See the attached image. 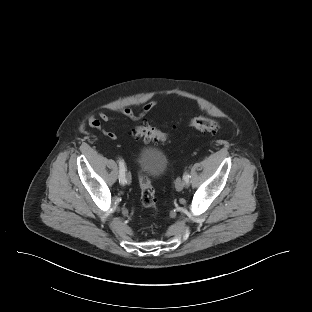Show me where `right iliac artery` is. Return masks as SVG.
Instances as JSON below:
<instances>
[{"instance_id":"82829eb1","label":"right iliac artery","mask_w":312,"mask_h":312,"mask_svg":"<svg viewBox=\"0 0 312 312\" xmlns=\"http://www.w3.org/2000/svg\"><path fill=\"white\" fill-rule=\"evenodd\" d=\"M119 182L121 184H125L126 183V180H125V164H124V161L119 159Z\"/></svg>"}]
</instances>
